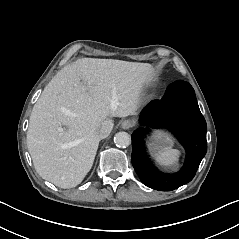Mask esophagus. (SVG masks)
<instances>
[{"label": "esophagus", "mask_w": 239, "mask_h": 239, "mask_svg": "<svg viewBox=\"0 0 239 239\" xmlns=\"http://www.w3.org/2000/svg\"><path fill=\"white\" fill-rule=\"evenodd\" d=\"M121 126L123 129H129V128L135 126V122L131 119H128V120L123 121Z\"/></svg>", "instance_id": "esophagus-1"}]
</instances>
